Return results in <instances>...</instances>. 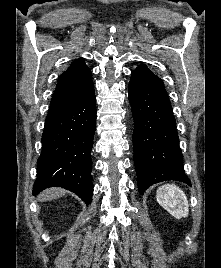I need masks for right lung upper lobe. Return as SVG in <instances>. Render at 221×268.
I'll return each instance as SVG.
<instances>
[{"instance_id": "obj_1", "label": "right lung upper lobe", "mask_w": 221, "mask_h": 268, "mask_svg": "<svg viewBox=\"0 0 221 268\" xmlns=\"http://www.w3.org/2000/svg\"><path fill=\"white\" fill-rule=\"evenodd\" d=\"M94 90L91 71L79 58L60 75L50 106H59L80 100Z\"/></svg>"}]
</instances>
